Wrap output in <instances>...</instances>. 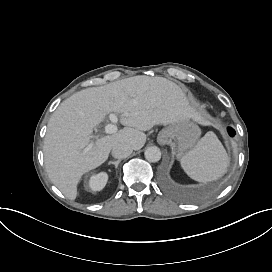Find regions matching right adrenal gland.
Listing matches in <instances>:
<instances>
[{
  "label": "right adrenal gland",
  "mask_w": 272,
  "mask_h": 272,
  "mask_svg": "<svg viewBox=\"0 0 272 272\" xmlns=\"http://www.w3.org/2000/svg\"><path fill=\"white\" fill-rule=\"evenodd\" d=\"M120 162H121V160H117V161H109L108 164H109V165H110V164H113V165H115V168H117Z\"/></svg>",
  "instance_id": "obj_1"
}]
</instances>
